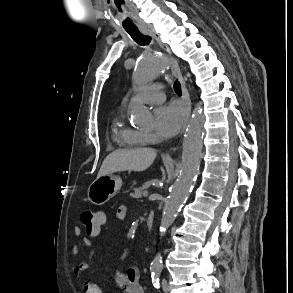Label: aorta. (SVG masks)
I'll list each match as a JSON object with an SVG mask.
<instances>
[{
	"label": "aorta",
	"instance_id": "762f6f07",
	"mask_svg": "<svg viewBox=\"0 0 293 293\" xmlns=\"http://www.w3.org/2000/svg\"><path fill=\"white\" fill-rule=\"evenodd\" d=\"M167 68L168 64L163 53L153 52L141 56L133 73V82L138 87L144 86L163 75ZM130 113L134 122L139 125H147L151 121V113L141 104H133ZM204 122L202 108L197 105L193 110L184 137L180 173L163 208L160 224L161 236L174 222L181 206L189 196L199 172ZM161 268L162 256L158 253L151 262V269L159 271Z\"/></svg>",
	"mask_w": 293,
	"mask_h": 293
}]
</instances>
